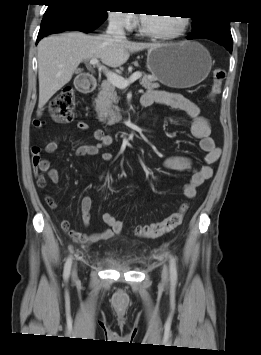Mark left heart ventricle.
I'll use <instances>...</instances> for the list:
<instances>
[{
  "label": "left heart ventricle",
  "mask_w": 261,
  "mask_h": 355,
  "mask_svg": "<svg viewBox=\"0 0 261 355\" xmlns=\"http://www.w3.org/2000/svg\"><path fill=\"white\" fill-rule=\"evenodd\" d=\"M144 27L152 32L170 34L176 32L181 25L180 17L145 14L143 17Z\"/></svg>",
  "instance_id": "left-heart-ventricle-1"
}]
</instances>
